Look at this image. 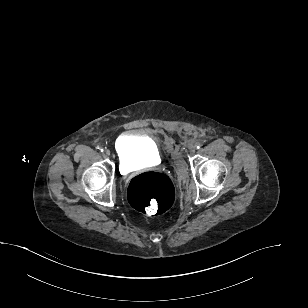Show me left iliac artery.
I'll return each mask as SVG.
<instances>
[{"label":"left iliac artery","mask_w":308,"mask_h":308,"mask_svg":"<svg viewBox=\"0 0 308 308\" xmlns=\"http://www.w3.org/2000/svg\"><path fill=\"white\" fill-rule=\"evenodd\" d=\"M202 146V143H200V142H197L196 143V147L199 149L200 147Z\"/></svg>","instance_id":"1"}]
</instances>
